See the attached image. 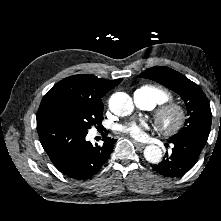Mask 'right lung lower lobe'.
I'll list each match as a JSON object with an SVG mask.
<instances>
[{
	"label": "right lung lower lobe",
	"mask_w": 221,
	"mask_h": 221,
	"mask_svg": "<svg viewBox=\"0 0 221 221\" xmlns=\"http://www.w3.org/2000/svg\"><path fill=\"white\" fill-rule=\"evenodd\" d=\"M40 142L55 167L67 177L86 180L95 175L109 158L115 139L105 137L102 146L86 141L81 132L53 120L37 121Z\"/></svg>",
	"instance_id": "98d812e1"
}]
</instances>
